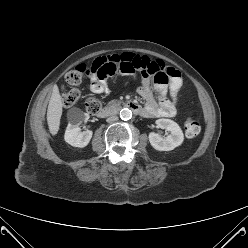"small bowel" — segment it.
<instances>
[{"instance_id":"obj_1","label":"small bowel","mask_w":248,"mask_h":248,"mask_svg":"<svg viewBox=\"0 0 248 248\" xmlns=\"http://www.w3.org/2000/svg\"><path fill=\"white\" fill-rule=\"evenodd\" d=\"M115 62V70L124 73L141 71L145 77L141 80L139 94L145 101V107L141 110L146 117H173L176 113L178 96L182 87V79L177 70L168 66L161 60L138 55L133 52H123L109 56ZM162 75L163 79L159 80ZM156 82V99L151 90V80ZM88 89L97 94L110 95L107 81L103 78L91 75Z\"/></svg>"}]
</instances>
